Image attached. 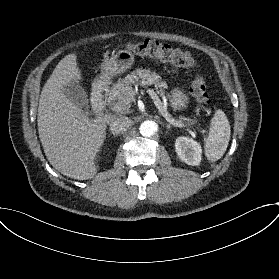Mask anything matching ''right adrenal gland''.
Instances as JSON below:
<instances>
[{
    "mask_svg": "<svg viewBox=\"0 0 279 279\" xmlns=\"http://www.w3.org/2000/svg\"><path fill=\"white\" fill-rule=\"evenodd\" d=\"M117 136H119V135H116V134H109V137H113L114 140H116V137H117Z\"/></svg>",
    "mask_w": 279,
    "mask_h": 279,
    "instance_id": "2a0ac1e0",
    "label": "right adrenal gland"
}]
</instances>
